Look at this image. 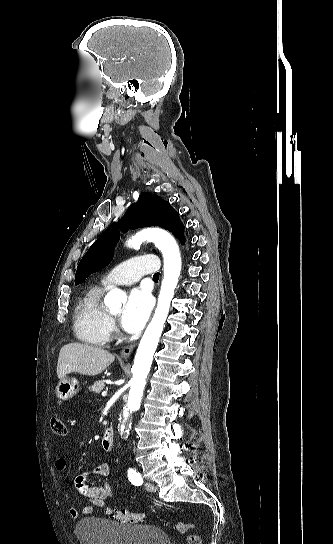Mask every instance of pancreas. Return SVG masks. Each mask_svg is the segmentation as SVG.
Returning a JSON list of instances; mask_svg holds the SVG:
<instances>
[{
    "mask_svg": "<svg viewBox=\"0 0 333 544\" xmlns=\"http://www.w3.org/2000/svg\"><path fill=\"white\" fill-rule=\"evenodd\" d=\"M106 384L104 380L96 381L92 386L89 387V390L98 394L100 393L104 388Z\"/></svg>",
    "mask_w": 333,
    "mask_h": 544,
    "instance_id": "1",
    "label": "pancreas"
}]
</instances>
